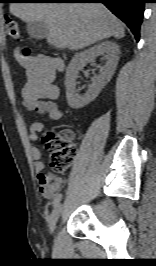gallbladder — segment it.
I'll list each match as a JSON object with an SVG mask.
<instances>
[{
    "label": "gallbladder",
    "instance_id": "bac80fb5",
    "mask_svg": "<svg viewBox=\"0 0 156 266\" xmlns=\"http://www.w3.org/2000/svg\"><path fill=\"white\" fill-rule=\"evenodd\" d=\"M26 29L29 36L37 40L44 39L48 35V27L43 21L27 23Z\"/></svg>",
    "mask_w": 156,
    "mask_h": 266
}]
</instances>
